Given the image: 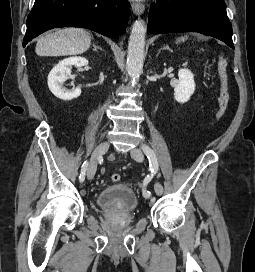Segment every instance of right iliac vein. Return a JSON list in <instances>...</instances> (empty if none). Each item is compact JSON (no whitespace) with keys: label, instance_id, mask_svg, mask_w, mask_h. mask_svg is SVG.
Returning a JSON list of instances; mask_svg holds the SVG:
<instances>
[{"label":"right iliac vein","instance_id":"right-iliac-vein-1","mask_svg":"<svg viewBox=\"0 0 255 272\" xmlns=\"http://www.w3.org/2000/svg\"><path fill=\"white\" fill-rule=\"evenodd\" d=\"M108 149H109V142H102L94 150L91 156V161L87 171V178L89 180H91L96 173L98 160L107 152Z\"/></svg>","mask_w":255,"mask_h":272}]
</instances>
